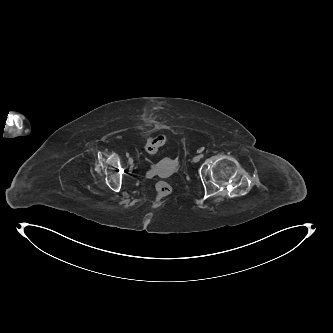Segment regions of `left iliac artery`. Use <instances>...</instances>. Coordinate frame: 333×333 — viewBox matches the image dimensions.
<instances>
[{
  "label": "left iliac artery",
  "mask_w": 333,
  "mask_h": 333,
  "mask_svg": "<svg viewBox=\"0 0 333 333\" xmlns=\"http://www.w3.org/2000/svg\"><path fill=\"white\" fill-rule=\"evenodd\" d=\"M202 151H203V148H201V149L199 150V152H202ZM200 156L203 157V154H201Z\"/></svg>",
  "instance_id": "44dca946"
}]
</instances>
